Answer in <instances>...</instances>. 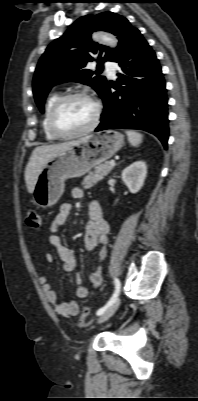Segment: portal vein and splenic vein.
I'll return each mask as SVG.
<instances>
[{
  "label": "portal vein and splenic vein",
  "instance_id": "portal-vein-and-splenic-vein-1",
  "mask_svg": "<svg viewBox=\"0 0 198 401\" xmlns=\"http://www.w3.org/2000/svg\"><path fill=\"white\" fill-rule=\"evenodd\" d=\"M109 165H110V166H114V165H115V161H114V160H111V161L109 162Z\"/></svg>",
  "mask_w": 198,
  "mask_h": 401
}]
</instances>
